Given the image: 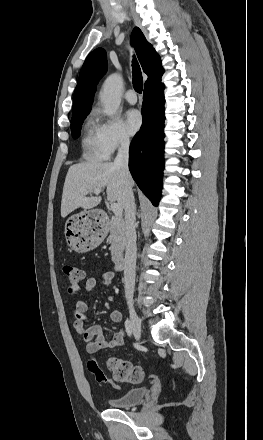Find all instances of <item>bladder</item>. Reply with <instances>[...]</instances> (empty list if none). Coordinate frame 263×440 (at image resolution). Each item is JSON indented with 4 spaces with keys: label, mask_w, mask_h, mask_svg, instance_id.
I'll list each match as a JSON object with an SVG mask.
<instances>
[{
    "label": "bladder",
    "mask_w": 263,
    "mask_h": 440,
    "mask_svg": "<svg viewBox=\"0 0 263 440\" xmlns=\"http://www.w3.org/2000/svg\"><path fill=\"white\" fill-rule=\"evenodd\" d=\"M147 394V388L144 386L128 389L120 396L109 400V405L115 409L129 408L144 399Z\"/></svg>",
    "instance_id": "bladder-1"
}]
</instances>
